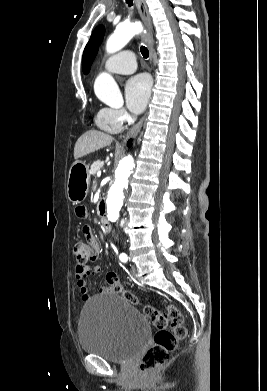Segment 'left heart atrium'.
Wrapping results in <instances>:
<instances>
[{"label":"left heart atrium","mask_w":267,"mask_h":391,"mask_svg":"<svg viewBox=\"0 0 267 391\" xmlns=\"http://www.w3.org/2000/svg\"><path fill=\"white\" fill-rule=\"evenodd\" d=\"M151 81L145 74L131 77L125 85V98L129 110L135 114L141 113L149 100Z\"/></svg>","instance_id":"39dd6f15"}]
</instances>
